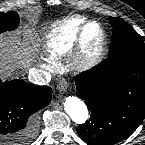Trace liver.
Here are the masks:
<instances>
[{
	"instance_id": "obj_1",
	"label": "liver",
	"mask_w": 145,
	"mask_h": 145,
	"mask_svg": "<svg viewBox=\"0 0 145 145\" xmlns=\"http://www.w3.org/2000/svg\"><path fill=\"white\" fill-rule=\"evenodd\" d=\"M32 38V31L29 29L24 31L23 42L16 35L0 37V75H10L29 64L33 50L29 40Z\"/></svg>"
}]
</instances>
